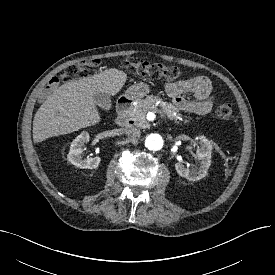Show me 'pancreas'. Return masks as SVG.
Here are the masks:
<instances>
[{"label": "pancreas", "instance_id": "cf45deb5", "mask_svg": "<svg viewBox=\"0 0 275 275\" xmlns=\"http://www.w3.org/2000/svg\"><path fill=\"white\" fill-rule=\"evenodd\" d=\"M159 102L161 111L167 116L168 119L174 120L176 124L183 121L182 115L178 113V110L170 103L162 101L157 96H147L145 99H139L137 104L132 106L128 112V118L134 120L141 126H146V113L155 109V104ZM187 122V120H185Z\"/></svg>", "mask_w": 275, "mask_h": 275}]
</instances>
